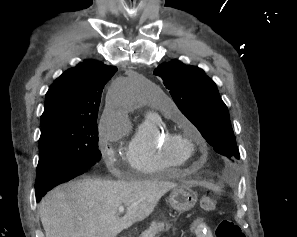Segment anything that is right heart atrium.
Instances as JSON below:
<instances>
[{"label":"right heart atrium","instance_id":"obj_1","mask_svg":"<svg viewBox=\"0 0 297 237\" xmlns=\"http://www.w3.org/2000/svg\"><path fill=\"white\" fill-rule=\"evenodd\" d=\"M122 131V123L117 115L110 109L105 110L99 125V136L100 148L109 166H112L116 161V151L113 144Z\"/></svg>","mask_w":297,"mask_h":237}]
</instances>
